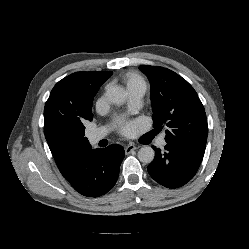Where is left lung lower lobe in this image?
<instances>
[{"instance_id":"obj_1","label":"left lung lower lobe","mask_w":249,"mask_h":249,"mask_svg":"<svg viewBox=\"0 0 249 249\" xmlns=\"http://www.w3.org/2000/svg\"><path fill=\"white\" fill-rule=\"evenodd\" d=\"M156 152L155 159L148 166L150 176L167 188H178L189 182L196 174L203 156L184 148L167 144L161 152Z\"/></svg>"}]
</instances>
